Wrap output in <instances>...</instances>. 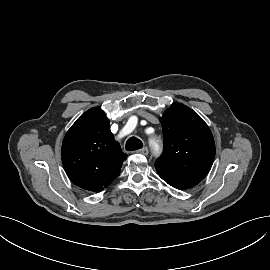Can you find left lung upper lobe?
<instances>
[{"mask_svg": "<svg viewBox=\"0 0 270 270\" xmlns=\"http://www.w3.org/2000/svg\"><path fill=\"white\" fill-rule=\"evenodd\" d=\"M164 150L155 162L159 176L176 189L192 188L209 172L215 142L204 120L189 107L174 103L160 118Z\"/></svg>", "mask_w": 270, "mask_h": 270, "instance_id": "obj_1", "label": "left lung upper lobe"}]
</instances>
